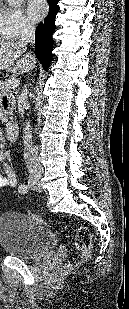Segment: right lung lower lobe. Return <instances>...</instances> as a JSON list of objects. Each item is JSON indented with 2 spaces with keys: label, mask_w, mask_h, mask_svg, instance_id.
Listing matches in <instances>:
<instances>
[{
  "label": "right lung lower lobe",
  "mask_w": 129,
  "mask_h": 309,
  "mask_svg": "<svg viewBox=\"0 0 129 309\" xmlns=\"http://www.w3.org/2000/svg\"><path fill=\"white\" fill-rule=\"evenodd\" d=\"M49 3V13L44 23H40L35 33V54L43 65L44 69H48L51 60L52 35L55 31V18L59 12L57 5L59 0H47Z\"/></svg>",
  "instance_id": "98d812e1"
}]
</instances>
